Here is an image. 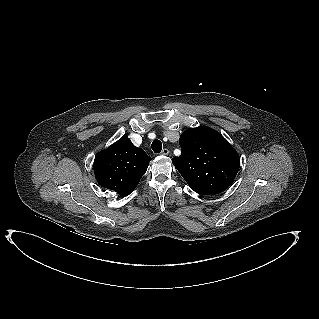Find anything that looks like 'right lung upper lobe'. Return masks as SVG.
<instances>
[{
	"mask_svg": "<svg viewBox=\"0 0 319 319\" xmlns=\"http://www.w3.org/2000/svg\"><path fill=\"white\" fill-rule=\"evenodd\" d=\"M151 158L123 136L106 150L97 154L94 173L97 182L120 196H127L146 172Z\"/></svg>",
	"mask_w": 319,
	"mask_h": 319,
	"instance_id": "cb5924a9",
	"label": "right lung upper lobe"
}]
</instances>
